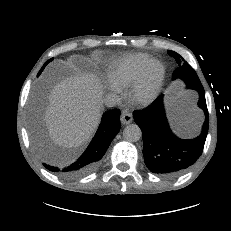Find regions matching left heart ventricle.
<instances>
[{
    "label": "left heart ventricle",
    "instance_id": "b2bd125f",
    "mask_svg": "<svg viewBox=\"0 0 231 231\" xmlns=\"http://www.w3.org/2000/svg\"><path fill=\"white\" fill-rule=\"evenodd\" d=\"M154 73H152V75H151V78H150V82H149V84L147 85V87H149L150 86V84L152 83V80H153V78H154Z\"/></svg>",
    "mask_w": 231,
    "mask_h": 231
}]
</instances>
